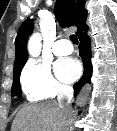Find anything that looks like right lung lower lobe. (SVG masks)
I'll return each instance as SVG.
<instances>
[{
	"label": "right lung lower lobe",
	"instance_id": "right-lung-lower-lobe-1",
	"mask_svg": "<svg viewBox=\"0 0 117 131\" xmlns=\"http://www.w3.org/2000/svg\"><path fill=\"white\" fill-rule=\"evenodd\" d=\"M78 37L80 40L79 51L83 60L84 73L82 78L74 84V95H77L80 89L90 81L92 75L90 38L88 37L87 32Z\"/></svg>",
	"mask_w": 117,
	"mask_h": 131
}]
</instances>
